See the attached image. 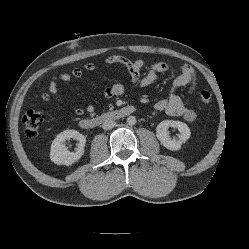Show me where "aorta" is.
<instances>
[{
  "label": "aorta",
  "mask_w": 249,
  "mask_h": 249,
  "mask_svg": "<svg viewBox=\"0 0 249 249\" xmlns=\"http://www.w3.org/2000/svg\"><path fill=\"white\" fill-rule=\"evenodd\" d=\"M127 123H128L129 125H134V124L136 123V118H135L134 116H129V117L127 118Z\"/></svg>",
  "instance_id": "1"
}]
</instances>
